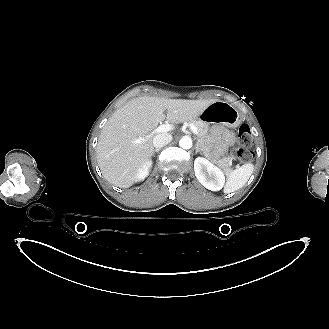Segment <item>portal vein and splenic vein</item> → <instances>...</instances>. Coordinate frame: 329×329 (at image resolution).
I'll list each match as a JSON object with an SVG mask.
<instances>
[{"mask_svg": "<svg viewBox=\"0 0 329 329\" xmlns=\"http://www.w3.org/2000/svg\"><path fill=\"white\" fill-rule=\"evenodd\" d=\"M173 129V125L171 124H163V125H160L159 127H157L155 130H154V133H162V132H168V131H171ZM191 131L195 134V135H198L199 131L198 129L195 127V126H191ZM148 136L146 137H139L135 140L132 141L133 144H142L146 141Z\"/></svg>", "mask_w": 329, "mask_h": 329, "instance_id": "1", "label": "portal vein and splenic vein"}]
</instances>
